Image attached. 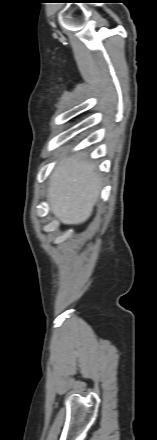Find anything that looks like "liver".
<instances>
[{
	"mask_svg": "<svg viewBox=\"0 0 157 440\" xmlns=\"http://www.w3.org/2000/svg\"><path fill=\"white\" fill-rule=\"evenodd\" d=\"M101 182L92 162L78 154L63 159L50 176L47 199L51 212L63 224L84 223L98 201Z\"/></svg>",
	"mask_w": 157,
	"mask_h": 440,
	"instance_id": "1",
	"label": "liver"
}]
</instances>
